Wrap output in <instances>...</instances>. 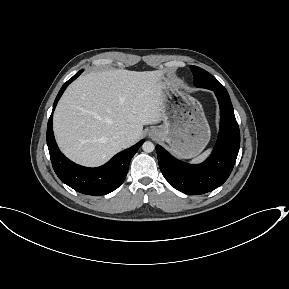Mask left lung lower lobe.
<instances>
[{"label":"left lung lower lobe","instance_id":"obj_1","mask_svg":"<svg viewBox=\"0 0 289 289\" xmlns=\"http://www.w3.org/2000/svg\"><path fill=\"white\" fill-rule=\"evenodd\" d=\"M213 91L219 102L221 123L215 148L205 162L183 163L156 146L163 176L171 186L186 194L200 195L222 185L232 172L238 155L240 132L230 97L227 91Z\"/></svg>","mask_w":289,"mask_h":289}]
</instances>
